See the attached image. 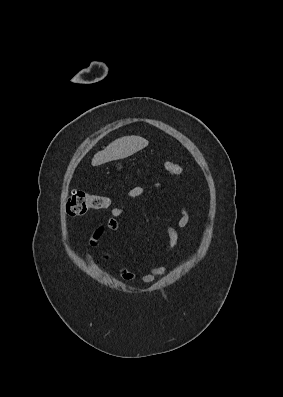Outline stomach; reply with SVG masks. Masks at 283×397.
Wrapping results in <instances>:
<instances>
[{"instance_id":"obj_1","label":"stomach","mask_w":283,"mask_h":397,"mask_svg":"<svg viewBox=\"0 0 283 397\" xmlns=\"http://www.w3.org/2000/svg\"><path fill=\"white\" fill-rule=\"evenodd\" d=\"M117 168H118V169H121V165H120V164H118V165H117Z\"/></svg>"}]
</instances>
